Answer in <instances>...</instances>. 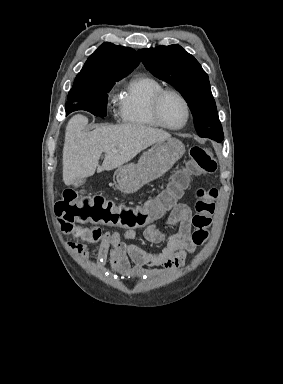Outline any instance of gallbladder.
Returning <instances> with one entry per match:
<instances>
[{"label":"gallbladder","instance_id":"obj_1","mask_svg":"<svg viewBox=\"0 0 283 384\" xmlns=\"http://www.w3.org/2000/svg\"><path fill=\"white\" fill-rule=\"evenodd\" d=\"M80 184H84V180H77V182H74L73 186H80Z\"/></svg>","mask_w":283,"mask_h":384}]
</instances>
